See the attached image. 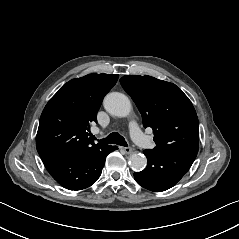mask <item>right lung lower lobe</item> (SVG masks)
I'll use <instances>...</instances> for the list:
<instances>
[{"mask_svg": "<svg viewBox=\"0 0 239 239\" xmlns=\"http://www.w3.org/2000/svg\"><path fill=\"white\" fill-rule=\"evenodd\" d=\"M118 148L101 144L85 152L42 158L50 175L64 188L81 190L94 184L101 175L106 156Z\"/></svg>", "mask_w": 239, "mask_h": 239, "instance_id": "right-lung-lower-lobe-1", "label": "right lung lower lobe"}]
</instances>
